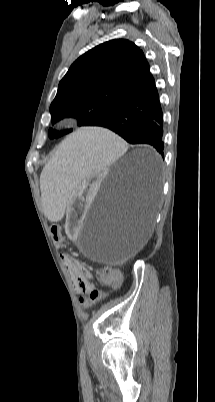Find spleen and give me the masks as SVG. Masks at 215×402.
<instances>
[{
	"mask_svg": "<svg viewBox=\"0 0 215 402\" xmlns=\"http://www.w3.org/2000/svg\"><path fill=\"white\" fill-rule=\"evenodd\" d=\"M124 142L110 128H76L75 134L60 143L41 176L44 208L50 220H59L67 208L73 186L87 175L104 169L124 150Z\"/></svg>",
	"mask_w": 215,
	"mask_h": 402,
	"instance_id": "1",
	"label": "spleen"
}]
</instances>
